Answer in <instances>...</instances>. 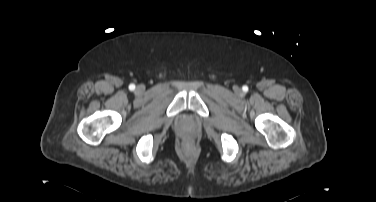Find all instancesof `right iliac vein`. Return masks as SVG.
Wrapping results in <instances>:
<instances>
[{"mask_svg": "<svg viewBox=\"0 0 376 202\" xmlns=\"http://www.w3.org/2000/svg\"><path fill=\"white\" fill-rule=\"evenodd\" d=\"M138 90L141 91V90H142V87L139 86V87H138Z\"/></svg>", "mask_w": 376, "mask_h": 202, "instance_id": "63e3f726", "label": "right iliac vein"}]
</instances>
